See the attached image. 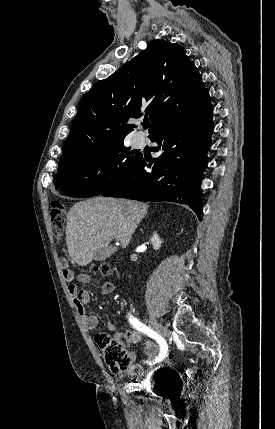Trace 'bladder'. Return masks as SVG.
I'll return each instance as SVG.
<instances>
[{"instance_id": "1", "label": "bladder", "mask_w": 275, "mask_h": 429, "mask_svg": "<svg viewBox=\"0 0 275 429\" xmlns=\"http://www.w3.org/2000/svg\"><path fill=\"white\" fill-rule=\"evenodd\" d=\"M156 384L158 386H163L165 384V379L163 377H158L156 379ZM171 395V392L169 389H157L155 391V396L157 398H169Z\"/></svg>"}]
</instances>
